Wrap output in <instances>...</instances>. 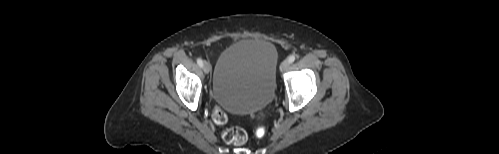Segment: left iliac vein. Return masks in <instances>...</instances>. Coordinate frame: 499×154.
Returning a JSON list of instances; mask_svg holds the SVG:
<instances>
[{
	"label": "left iliac vein",
	"instance_id": "left-iliac-vein-1",
	"mask_svg": "<svg viewBox=\"0 0 499 154\" xmlns=\"http://www.w3.org/2000/svg\"><path fill=\"white\" fill-rule=\"evenodd\" d=\"M289 65H290L289 61H288V60H284V61L281 63V65H280V71H281V72L286 71V70L288 69Z\"/></svg>",
	"mask_w": 499,
	"mask_h": 154
}]
</instances>
